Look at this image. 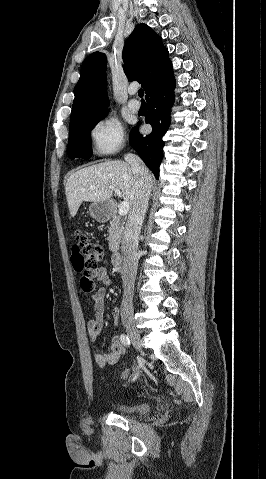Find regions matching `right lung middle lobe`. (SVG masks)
<instances>
[{
	"label": "right lung middle lobe",
	"mask_w": 266,
	"mask_h": 479,
	"mask_svg": "<svg viewBox=\"0 0 266 479\" xmlns=\"http://www.w3.org/2000/svg\"><path fill=\"white\" fill-rule=\"evenodd\" d=\"M106 115L107 111L98 115L70 122V135L67 151L71 159H74L76 157L82 159H89L91 157V130Z\"/></svg>",
	"instance_id": "right-lung-middle-lobe-1"
}]
</instances>
